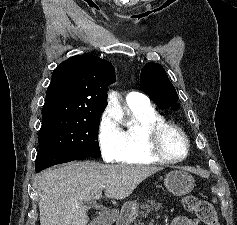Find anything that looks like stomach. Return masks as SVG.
I'll return each mask as SVG.
<instances>
[{
  "instance_id": "0dacf381",
  "label": "stomach",
  "mask_w": 237,
  "mask_h": 225,
  "mask_svg": "<svg viewBox=\"0 0 237 225\" xmlns=\"http://www.w3.org/2000/svg\"><path fill=\"white\" fill-rule=\"evenodd\" d=\"M194 178L187 172L181 170L170 171L165 179L164 185L169 192L176 196L189 194L194 188ZM139 205L136 201H128L123 205L122 215L126 221L132 222L138 216Z\"/></svg>"
}]
</instances>
